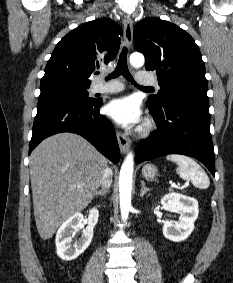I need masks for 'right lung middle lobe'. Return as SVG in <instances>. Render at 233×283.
<instances>
[{"label":"right lung middle lobe","instance_id":"1","mask_svg":"<svg viewBox=\"0 0 233 283\" xmlns=\"http://www.w3.org/2000/svg\"><path fill=\"white\" fill-rule=\"evenodd\" d=\"M88 88L89 86L79 85L66 80L44 81L40 84V97L47 95H66L87 101H93L95 99L88 97Z\"/></svg>","mask_w":233,"mask_h":283}]
</instances>
